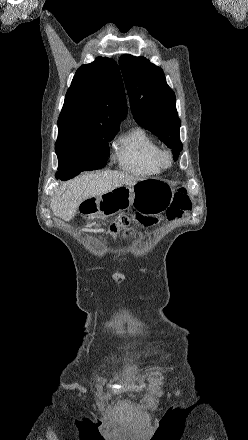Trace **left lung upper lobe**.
I'll return each instance as SVG.
<instances>
[{
    "label": "left lung upper lobe",
    "instance_id": "1",
    "mask_svg": "<svg viewBox=\"0 0 248 440\" xmlns=\"http://www.w3.org/2000/svg\"><path fill=\"white\" fill-rule=\"evenodd\" d=\"M119 65L135 121L171 148L177 160L182 150L181 121L175 107V94L167 85L162 69L142 56L128 54L120 57Z\"/></svg>",
    "mask_w": 248,
    "mask_h": 440
}]
</instances>
